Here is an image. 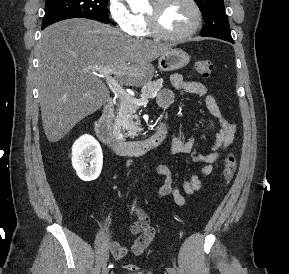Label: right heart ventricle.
<instances>
[{
  "mask_svg": "<svg viewBox=\"0 0 289 274\" xmlns=\"http://www.w3.org/2000/svg\"><path fill=\"white\" fill-rule=\"evenodd\" d=\"M135 17H136V21L138 25L135 35L140 36V37L150 36L152 33L150 32L148 28L145 14L140 13V14L135 15Z\"/></svg>",
  "mask_w": 289,
  "mask_h": 274,
  "instance_id": "e07e8e85",
  "label": "right heart ventricle"
}]
</instances>
